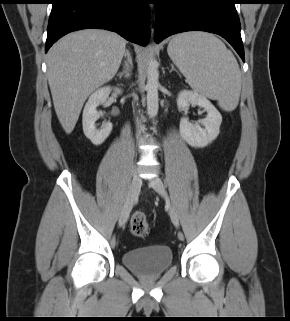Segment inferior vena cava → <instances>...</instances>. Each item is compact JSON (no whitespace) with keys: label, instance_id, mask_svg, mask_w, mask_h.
I'll return each mask as SVG.
<instances>
[{"label":"inferior vena cava","instance_id":"obj_1","mask_svg":"<svg viewBox=\"0 0 290 321\" xmlns=\"http://www.w3.org/2000/svg\"><path fill=\"white\" fill-rule=\"evenodd\" d=\"M127 55H128V61H130L131 63V59L129 60V53L127 52ZM138 125H139V122L137 121Z\"/></svg>","mask_w":290,"mask_h":321}]
</instances>
